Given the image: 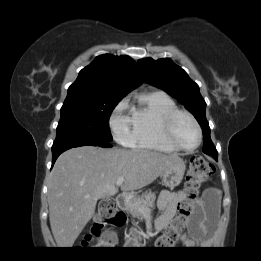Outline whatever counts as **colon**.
<instances>
[{"label":"colon","instance_id":"1","mask_svg":"<svg viewBox=\"0 0 261 261\" xmlns=\"http://www.w3.org/2000/svg\"><path fill=\"white\" fill-rule=\"evenodd\" d=\"M212 173L213 166L210 163L201 156H193L190 160L185 179V190L188 196L191 198L196 197L200 192L201 186ZM189 216L190 211L188 208L184 205L180 206L178 218L166 229L164 234L157 239L155 243L156 246L170 247L174 245L184 230ZM124 221L125 217L116 210L114 201L112 199H104L100 203L94 226L85 244L94 243L96 247L101 248L113 246L116 242L114 232L111 230L102 232V230L107 225L114 227L121 226Z\"/></svg>","mask_w":261,"mask_h":261}]
</instances>
